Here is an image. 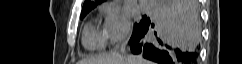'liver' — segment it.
Here are the masks:
<instances>
[{"label":"liver","mask_w":242,"mask_h":64,"mask_svg":"<svg viewBox=\"0 0 242 64\" xmlns=\"http://www.w3.org/2000/svg\"><path fill=\"white\" fill-rule=\"evenodd\" d=\"M178 22L187 35L193 37L198 43L200 39V29L193 17L188 11H182L179 14ZM78 64H153L139 56H121L117 53L99 57L97 59H83Z\"/></svg>","instance_id":"liver-1"}]
</instances>
